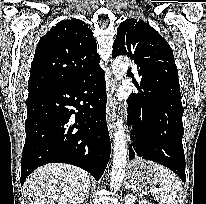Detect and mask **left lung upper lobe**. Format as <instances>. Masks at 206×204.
I'll return each mask as SVG.
<instances>
[{
    "instance_id": "1",
    "label": "left lung upper lobe",
    "mask_w": 206,
    "mask_h": 204,
    "mask_svg": "<svg viewBox=\"0 0 206 204\" xmlns=\"http://www.w3.org/2000/svg\"><path fill=\"white\" fill-rule=\"evenodd\" d=\"M124 54L134 60L140 70H145V91L148 94L155 97L168 86H173L180 94L172 49L149 24L131 18L119 25L112 57Z\"/></svg>"
}]
</instances>
